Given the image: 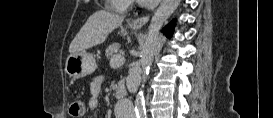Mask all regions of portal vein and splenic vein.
<instances>
[{"instance_id": "18ae733b", "label": "portal vein and splenic vein", "mask_w": 273, "mask_h": 118, "mask_svg": "<svg viewBox=\"0 0 273 118\" xmlns=\"http://www.w3.org/2000/svg\"><path fill=\"white\" fill-rule=\"evenodd\" d=\"M125 62V59L122 55H115L112 59H111V63L116 64L117 66L122 65Z\"/></svg>"}]
</instances>
